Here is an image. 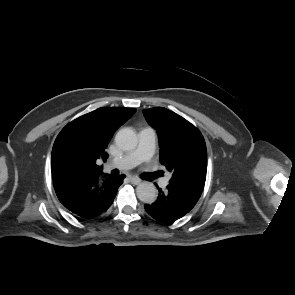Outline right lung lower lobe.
<instances>
[{"label": "right lung lower lobe", "instance_id": "1", "mask_svg": "<svg viewBox=\"0 0 295 295\" xmlns=\"http://www.w3.org/2000/svg\"><path fill=\"white\" fill-rule=\"evenodd\" d=\"M125 175L102 174L80 181H57L54 188L59 201L77 218L100 217L112 204Z\"/></svg>", "mask_w": 295, "mask_h": 295}]
</instances>
